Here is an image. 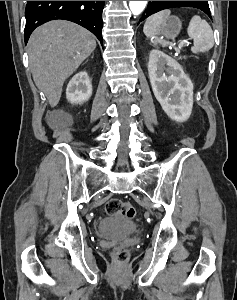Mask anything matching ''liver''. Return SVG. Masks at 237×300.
<instances>
[{
    "label": "liver",
    "instance_id": "obj_1",
    "mask_svg": "<svg viewBox=\"0 0 237 300\" xmlns=\"http://www.w3.org/2000/svg\"><path fill=\"white\" fill-rule=\"evenodd\" d=\"M33 81L56 107L64 81L96 49L94 35L70 21H50L33 31L28 41Z\"/></svg>",
    "mask_w": 237,
    "mask_h": 300
}]
</instances>
